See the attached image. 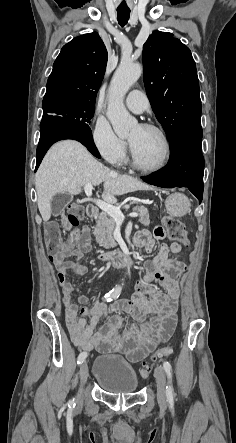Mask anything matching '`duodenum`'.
Wrapping results in <instances>:
<instances>
[{
    "label": "duodenum",
    "instance_id": "obj_1",
    "mask_svg": "<svg viewBox=\"0 0 236 443\" xmlns=\"http://www.w3.org/2000/svg\"><path fill=\"white\" fill-rule=\"evenodd\" d=\"M88 217L93 218L97 214V207L94 203H89L86 209ZM100 259L103 262L112 263L119 267L128 266L132 263L133 258L128 253H102Z\"/></svg>",
    "mask_w": 236,
    "mask_h": 443
}]
</instances>
